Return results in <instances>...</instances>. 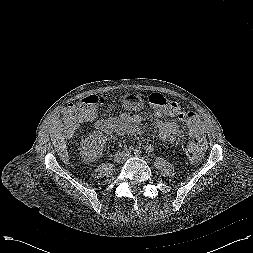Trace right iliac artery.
I'll use <instances>...</instances> for the list:
<instances>
[{
	"label": "right iliac artery",
	"instance_id": "82829eb1",
	"mask_svg": "<svg viewBox=\"0 0 253 253\" xmlns=\"http://www.w3.org/2000/svg\"><path fill=\"white\" fill-rule=\"evenodd\" d=\"M130 153H131V150H130V149H125V150H124V154H125L126 156H128Z\"/></svg>",
	"mask_w": 253,
	"mask_h": 253
}]
</instances>
